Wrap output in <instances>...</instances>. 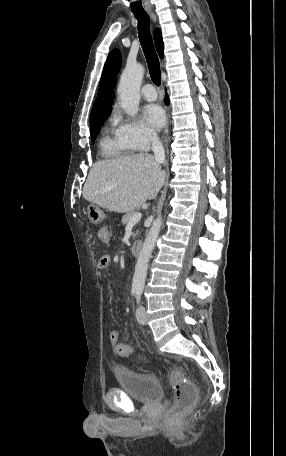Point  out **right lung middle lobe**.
Wrapping results in <instances>:
<instances>
[{
  "label": "right lung middle lobe",
  "instance_id": "1",
  "mask_svg": "<svg viewBox=\"0 0 286 456\" xmlns=\"http://www.w3.org/2000/svg\"><path fill=\"white\" fill-rule=\"evenodd\" d=\"M109 114L110 112L90 121V133L92 143L95 141L98 131L100 130L101 126L103 125L105 119L108 117Z\"/></svg>",
  "mask_w": 286,
  "mask_h": 456
}]
</instances>
